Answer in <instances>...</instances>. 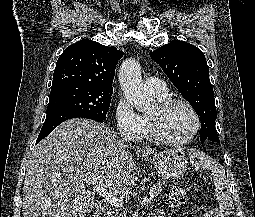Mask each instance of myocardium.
I'll list each match as a JSON object with an SVG mask.
<instances>
[{
    "label": "myocardium",
    "instance_id": "myocardium-1",
    "mask_svg": "<svg viewBox=\"0 0 255 217\" xmlns=\"http://www.w3.org/2000/svg\"><path fill=\"white\" fill-rule=\"evenodd\" d=\"M174 104H182L186 106L192 113L195 120V127L192 133L187 138H184L181 140H173V139L167 138L161 133L157 121L150 116L148 117L149 129H150L151 136L157 142L165 144V145H170V146H181V145H185L192 142L195 139V137L198 135L201 129V118L198 111L194 107V105L190 101L184 98H165L164 100L159 101L157 105V109L159 112H164Z\"/></svg>",
    "mask_w": 255,
    "mask_h": 217
}]
</instances>
